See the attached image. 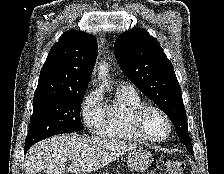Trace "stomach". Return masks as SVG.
<instances>
[{"mask_svg":"<svg viewBox=\"0 0 224 174\" xmlns=\"http://www.w3.org/2000/svg\"><path fill=\"white\" fill-rule=\"evenodd\" d=\"M126 160L130 169L142 172L152 163V154L146 149L138 148L130 151Z\"/></svg>","mask_w":224,"mask_h":174,"instance_id":"obj_1","label":"stomach"}]
</instances>
